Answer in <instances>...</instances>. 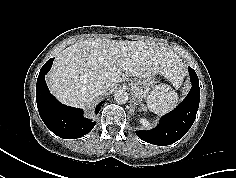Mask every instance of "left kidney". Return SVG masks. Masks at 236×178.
I'll return each mask as SVG.
<instances>
[{
    "label": "left kidney",
    "instance_id": "5707ae66",
    "mask_svg": "<svg viewBox=\"0 0 236 178\" xmlns=\"http://www.w3.org/2000/svg\"><path fill=\"white\" fill-rule=\"evenodd\" d=\"M140 123L144 126V127H149V122L144 119V118H141L140 119Z\"/></svg>",
    "mask_w": 236,
    "mask_h": 178
}]
</instances>
